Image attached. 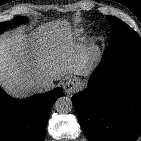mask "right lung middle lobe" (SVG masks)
<instances>
[{
	"mask_svg": "<svg viewBox=\"0 0 141 141\" xmlns=\"http://www.w3.org/2000/svg\"><path fill=\"white\" fill-rule=\"evenodd\" d=\"M25 21H26V18L17 17L12 21V23L21 24L22 22H25ZM10 25H11V22L0 23V33L3 32Z\"/></svg>",
	"mask_w": 141,
	"mask_h": 141,
	"instance_id": "dd1d6c3e",
	"label": "right lung middle lobe"
}]
</instances>
